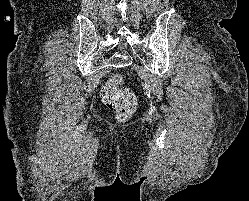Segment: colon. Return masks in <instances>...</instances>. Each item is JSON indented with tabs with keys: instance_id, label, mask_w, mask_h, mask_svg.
Listing matches in <instances>:
<instances>
[{
	"instance_id": "obj_1",
	"label": "colon",
	"mask_w": 249,
	"mask_h": 201,
	"mask_svg": "<svg viewBox=\"0 0 249 201\" xmlns=\"http://www.w3.org/2000/svg\"><path fill=\"white\" fill-rule=\"evenodd\" d=\"M102 102L115 114L117 120L125 121L136 110V97L129 89L121 87V78L113 76L101 89Z\"/></svg>"
}]
</instances>
